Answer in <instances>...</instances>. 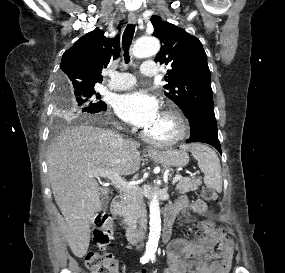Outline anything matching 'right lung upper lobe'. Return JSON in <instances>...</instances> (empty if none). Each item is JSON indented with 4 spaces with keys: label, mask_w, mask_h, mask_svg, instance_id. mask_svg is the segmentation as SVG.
<instances>
[{
    "label": "right lung upper lobe",
    "mask_w": 285,
    "mask_h": 273,
    "mask_svg": "<svg viewBox=\"0 0 285 273\" xmlns=\"http://www.w3.org/2000/svg\"><path fill=\"white\" fill-rule=\"evenodd\" d=\"M120 54V37L106 38L104 31L96 28L78 39L64 52L60 64L61 77L71 89L94 88L101 82V70Z\"/></svg>",
    "instance_id": "obj_1"
}]
</instances>
